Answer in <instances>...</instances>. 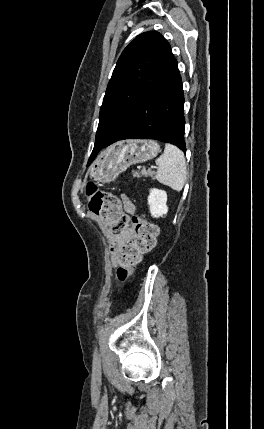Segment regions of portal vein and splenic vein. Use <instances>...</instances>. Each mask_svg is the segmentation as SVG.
Listing matches in <instances>:
<instances>
[{
  "instance_id": "portal-vein-and-splenic-vein-1",
  "label": "portal vein and splenic vein",
  "mask_w": 264,
  "mask_h": 429,
  "mask_svg": "<svg viewBox=\"0 0 264 429\" xmlns=\"http://www.w3.org/2000/svg\"><path fill=\"white\" fill-rule=\"evenodd\" d=\"M151 168H152V169H155V168H157V167H156V166H151Z\"/></svg>"
}]
</instances>
